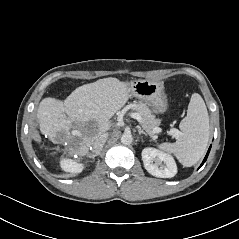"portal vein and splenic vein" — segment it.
Here are the masks:
<instances>
[{
  "instance_id": "18ae733b",
  "label": "portal vein and splenic vein",
  "mask_w": 239,
  "mask_h": 239,
  "mask_svg": "<svg viewBox=\"0 0 239 239\" xmlns=\"http://www.w3.org/2000/svg\"><path fill=\"white\" fill-rule=\"evenodd\" d=\"M130 116L132 118L136 119L139 123L142 122V117L139 113H131ZM159 132H161V129L160 128H155L152 133L154 135V134L159 133ZM168 133L177 138L180 134V131L178 129H172Z\"/></svg>"
}]
</instances>
